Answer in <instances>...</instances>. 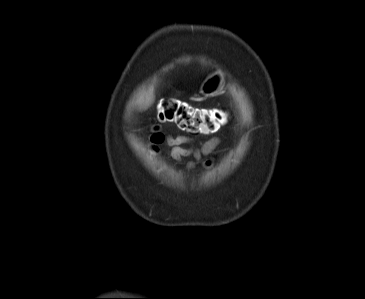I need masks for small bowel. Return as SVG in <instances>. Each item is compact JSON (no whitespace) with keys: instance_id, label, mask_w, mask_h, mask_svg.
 Here are the masks:
<instances>
[{"instance_id":"c3829d8e","label":"small bowel","mask_w":365,"mask_h":299,"mask_svg":"<svg viewBox=\"0 0 365 299\" xmlns=\"http://www.w3.org/2000/svg\"><path fill=\"white\" fill-rule=\"evenodd\" d=\"M166 141L171 147L169 150L170 156L177 161L186 156H194L198 159L206 153L212 151L220 143L218 138H214L207 144L203 145L201 148L195 149L192 146L183 147L185 144L191 145L192 143V140L187 136H168ZM188 166L193 167L194 163H190Z\"/></svg>"}]
</instances>
